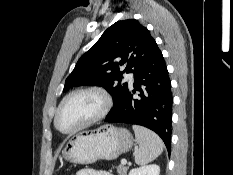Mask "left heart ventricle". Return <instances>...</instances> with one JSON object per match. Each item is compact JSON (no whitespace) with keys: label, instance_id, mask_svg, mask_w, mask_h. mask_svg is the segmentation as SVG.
<instances>
[{"label":"left heart ventricle","instance_id":"b2bd125f","mask_svg":"<svg viewBox=\"0 0 233 175\" xmlns=\"http://www.w3.org/2000/svg\"><path fill=\"white\" fill-rule=\"evenodd\" d=\"M102 100L94 93H81L71 97L62 107L58 125L63 130H70L99 112Z\"/></svg>","mask_w":233,"mask_h":175}]
</instances>
